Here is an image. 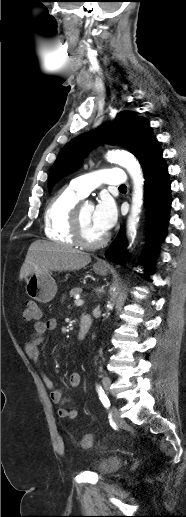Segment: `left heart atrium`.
I'll list each match as a JSON object with an SVG mask.
<instances>
[{
    "label": "left heart atrium",
    "mask_w": 186,
    "mask_h": 517,
    "mask_svg": "<svg viewBox=\"0 0 186 517\" xmlns=\"http://www.w3.org/2000/svg\"><path fill=\"white\" fill-rule=\"evenodd\" d=\"M117 220V208L115 202L108 195H103L94 207L93 221L96 227L103 233L110 230Z\"/></svg>",
    "instance_id": "1"
}]
</instances>
